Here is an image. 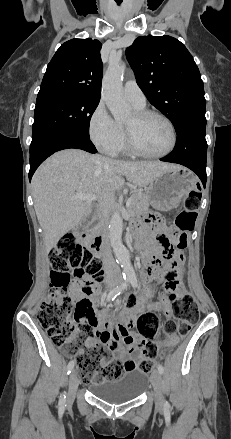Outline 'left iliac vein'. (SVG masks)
Returning <instances> with one entry per match:
<instances>
[{
  "mask_svg": "<svg viewBox=\"0 0 231 439\" xmlns=\"http://www.w3.org/2000/svg\"><path fill=\"white\" fill-rule=\"evenodd\" d=\"M151 384L155 394V403L157 408H162L164 405V399L161 392V373L159 371H154L151 375Z\"/></svg>",
  "mask_w": 231,
  "mask_h": 439,
  "instance_id": "left-iliac-vein-1",
  "label": "left iliac vein"
}]
</instances>
